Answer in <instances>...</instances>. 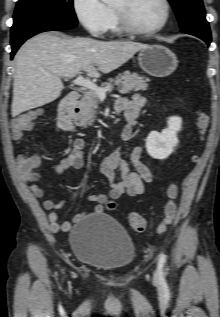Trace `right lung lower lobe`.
I'll return each mask as SVG.
<instances>
[{
    "label": "right lung lower lobe",
    "instance_id": "1",
    "mask_svg": "<svg viewBox=\"0 0 220 317\" xmlns=\"http://www.w3.org/2000/svg\"><path fill=\"white\" fill-rule=\"evenodd\" d=\"M76 27V24H72L62 20L48 19V20H39L27 23L21 26L14 32H11V58L20 47V45L25 42L28 38L44 31H58L64 29H71Z\"/></svg>",
    "mask_w": 220,
    "mask_h": 317
}]
</instances>
